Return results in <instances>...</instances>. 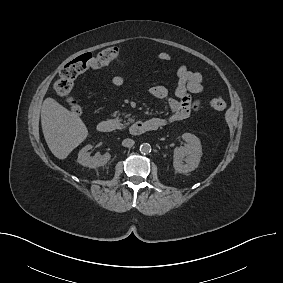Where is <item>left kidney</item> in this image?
<instances>
[{
	"label": "left kidney",
	"instance_id": "left-kidney-1",
	"mask_svg": "<svg viewBox=\"0 0 283 283\" xmlns=\"http://www.w3.org/2000/svg\"><path fill=\"white\" fill-rule=\"evenodd\" d=\"M182 139L186 142L184 146L177 147L174 150L173 167L176 173H188L195 170L202 156V147L199 138L194 134L184 133ZM185 159L183 164L182 159Z\"/></svg>",
	"mask_w": 283,
	"mask_h": 283
}]
</instances>
